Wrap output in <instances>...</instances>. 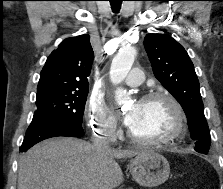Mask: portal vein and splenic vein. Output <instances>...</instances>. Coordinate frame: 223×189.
Returning a JSON list of instances; mask_svg holds the SVG:
<instances>
[{"instance_id": "18ae733b", "label": "portal vein and splenic vein", "mask_w": 223, "mask_h": 189, "mask_svg": "<svg viewBox=\"0 0 223 189\" xmlns=\"http://www.w3.org/2000/svg\"><path fill=\"white\" fill-rule=\"evenodd\" d=\"M72 189H78V187L75 186V187H72Z\"/></svg>"}]
</instances>
